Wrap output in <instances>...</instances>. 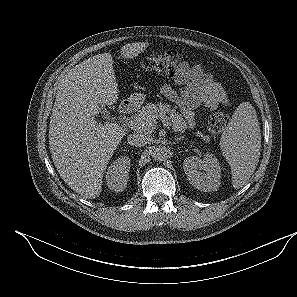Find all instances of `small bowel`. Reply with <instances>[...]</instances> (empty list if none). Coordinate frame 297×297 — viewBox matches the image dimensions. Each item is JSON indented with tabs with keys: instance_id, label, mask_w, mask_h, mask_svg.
Wrapping results in <instances>:
<instances>
[{
	"instance_id": "1",
	"label": "small bowel",
	"mask_w": 297,
	"mask_h": 297,
	"mask_svg": "<svg viewBox=\"0 0 297 297\" xmlns=\"http://www.w3.org/2000/svg\"><path fill=\"white\" fill-rule=\"evenodd\" d=\"M173 83L174 86L163 85L161 93L179 107L189 127L194 125L199 108L215 109L231 104L222 85L205 72L198 62H182L174 75Z\"/></svg>"
}]
</instances>
